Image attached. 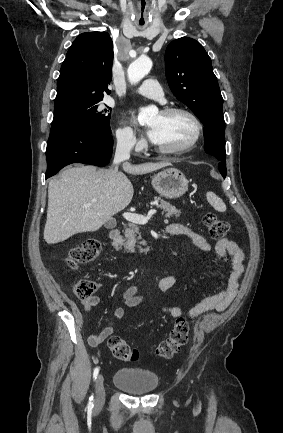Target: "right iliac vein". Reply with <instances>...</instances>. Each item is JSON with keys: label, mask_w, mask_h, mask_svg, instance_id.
I'll return each mask as SVG.
<instances>
[{"label": "right iliac vein", "mask_w": 283, "mask_h": 433, "mask_svg": "<svg viewBox=\"0 0 283 433\" xmlns=\"http://www.w3.org/2000/svg\"><path fill=\"white\" fill-rule=\"evenodd\" d=\"M95 390H96V395H95L94 406H95V410H98L100 406L103 405L105 402L104 378L102 374H99L96 378Z\"/></svg>", "instance_id": "63e3f726"}]
</instances>
